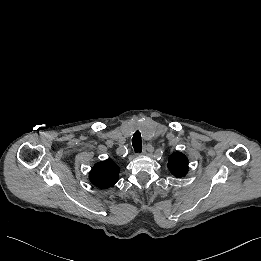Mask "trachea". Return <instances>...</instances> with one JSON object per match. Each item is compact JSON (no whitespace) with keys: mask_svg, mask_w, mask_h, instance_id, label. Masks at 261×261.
I'll return each mask as SVG.
<instances>
[{"mask_svg":"<svg viewBox=\"0 0 261 261\" xmlns=\"http://www.w3.org/2000/svg\"><path fill=\"white\" fill-rule=\"evenodd\" d=\"M132 144L135 152H141L142 151V140H141V133L139 130H136L133 138H132Z\"/></svg>","mask_w":261,"mask_h":261,"instance_id":"3493384b","label":"trachea"}]
</instances>
